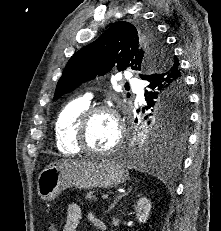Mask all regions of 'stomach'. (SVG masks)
<instances>
[{
    "label": "stomach",
    "mask_w": 221,
    "mask_h": 231,
    "mask_svg": "<svg viewBox=\"0 0 221 231\" xmlns=\"http://www.w3.org/2000/svg\"><path fill=\"white\" fill-rule=\"evenodd\" d=\"M127 179L125 169L113 159L58 162L39 174L37 193L41 200L50 201L69 187L113 188Z\"/></svg>",
    "instance_id": "stomach-1"
}]
</instances>
